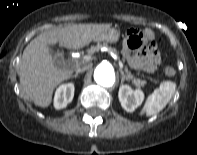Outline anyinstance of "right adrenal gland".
Returning a JSON list of instances; mask_svg holds the SVG:
<instances>
[{
	"label": "right adrenal gland",
	"mask_w": 197,
	"mask_h": 155,
	"mask_svg": "<svg viewBox=\"0 0 197 155\" xmlns=\"http://www.w3.org/2000/svg\"><path fill=\"white\" fill-rule=\"evenodd\" d=\"M78 76V74H74L71 76V78H76Z\"/></svg>",
	"instance_id": "1"
}]
</instances>
